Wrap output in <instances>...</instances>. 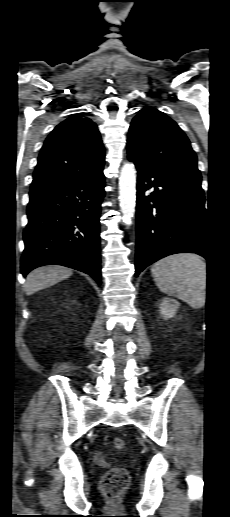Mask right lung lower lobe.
<instances>
[{"label": "right lung lower lobe", "instance_id": "obj_1", "mask_svg": "<svg viewBox=\"0 0 230 517\" xmlns=\"http://www.w3.org/2000/svg\"><path fill=\"white\" fill-rule=\"evenodd\" d=\"M103 168L61 185L30 191L24 276L42 265H63L91 275L101 284L100 211L105 195Z\"/></svg>", "mask_w": 230, "mask_h": 517}]
</instances>
